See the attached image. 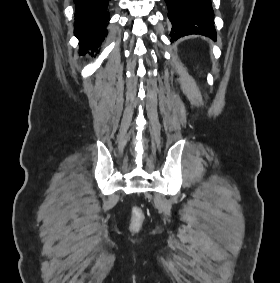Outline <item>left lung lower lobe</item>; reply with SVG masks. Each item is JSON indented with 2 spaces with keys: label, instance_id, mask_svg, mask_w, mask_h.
<instances>
[{
  "label": "left lung lower lobe",
  "instance_id": "1",
  "mask_svg": "<svg viewBox=\"0 0 280 283\" xmlns=\"http://www.w3.org/2000/svg\"><path fill=\"white\" fill-rule=\"evenodd\" d=\"M172 24L171 41L191 34L216 39L211 0H165Z\"/></svg>",
  "mask_w": 280,
  "mask_h": 283
}]
</instances>
